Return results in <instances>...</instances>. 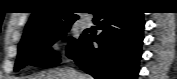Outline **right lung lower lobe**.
<instances>
[{
    "label": "right lung lower lobe",
    "mask_w": 177,
    "mask_h": 79,
    "mask_svg": "<svg viewBox=\"0 0 177 79\" xmlns=\"http://www.w3.org/2000/svg\"><path fill=\"white\" fill-rule=\"evenodd\" d=\"M94 22L103 32L97 37L84 34L68 56L95 79H137L143 13L121 11L112 5L97 11ZM93 42L99 47H93Z\"/></svg>",
    "instance_id": "1"
}]
</instances>
